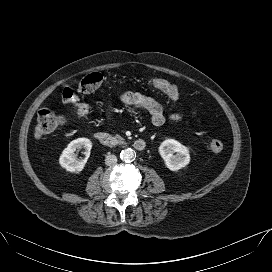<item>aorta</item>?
<instances>
[{"instance_id": "obj_1", "label": "aorta", "mask_w": 272, "mask_h": 272, "mask_svg": "<svg viewBox=\"0 0 272 272\" xmlns=\"http://www.w3.org/2000/svg\"><path fill=\"white\" fill-rule=\"evenodd\" d=\"M135 157V152L131 148H126L121 151L120 158L124 162H131Z\"/></svg>"}]
</instances>
